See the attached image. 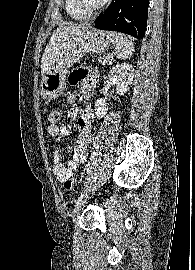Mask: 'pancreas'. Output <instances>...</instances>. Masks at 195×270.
<instances>
[{
  "label": "pancreas",
  "instance_id": "obj_1",
  "mask_svg": "<svg viewBox=\"0 0 195 270\" xmlns=\"http://www.w3.org/2000/svg\"><path fill=\"white\" fill-rule=\"evenodd\" d=\"M98 61L102 64H106L111 61V58L108 57V55H102L101 57L98 58Z\"/></svg>",
  "mask_w": 195,
  "mask_h": 270
}]
</instances>
